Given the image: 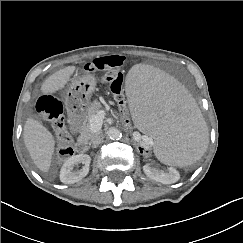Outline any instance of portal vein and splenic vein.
Wrapping results in <instances>:
<instances>
[{
    "label": "portal vein and splenic vein",
    "instance_id": "obj_1",
    "mask_svg": "<svg viewBox=\"0 0 243 243\" xmlns=\"http://www.w3.org/2000/svg\"><path fill=\"white\" fill-rule=\"evenodd\" d=\"M104 118L105 112L103 110L98 111L97 114L90 118V128L93 132H96L101 128Z\"/></svg>",
    "mask_w": 243,
    "mask_h": 243
}]
</instances>
